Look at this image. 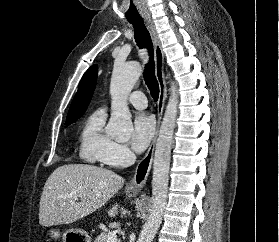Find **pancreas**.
<instances>
[{"label": "pancreas", "instance_id": "obj_1", "mask_svg": "<svg viewBox=\"0 0 279 242\" xmlns=\"http://www.w3.org/2000/svg\"><path fill=\"white\" fill-rule=\"evenodd\" d=\"M109 231H103L98 237L95 239V242H106L107 235ZM119 242V241H117Z\"/></svg>", "mask_w": 279, "mask_h": 242}]
</instances>
